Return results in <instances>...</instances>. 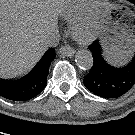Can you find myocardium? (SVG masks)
Masks as SVG:
<instances>
[{
  "label": "myocardium",
  "instance_id": "myocardium-1",
  "mask_svg": "<svg viewBox=\"0 0 135 135\" xmlns=\"http://www.w3.org/2000/svg\"><path fill=\"white\" fill-rule=\"evenodd\" d=\"M101 0H87L83 12L71 24V33L77 41L92 39L99 28V7Z\"/></svg>",
  "mask_w": 135,
  "mask_h": 135
}]
</instances>
